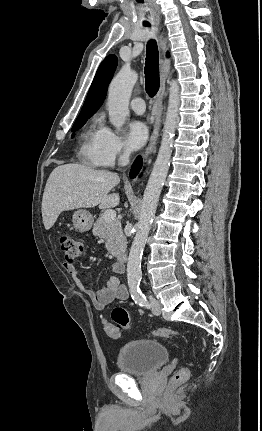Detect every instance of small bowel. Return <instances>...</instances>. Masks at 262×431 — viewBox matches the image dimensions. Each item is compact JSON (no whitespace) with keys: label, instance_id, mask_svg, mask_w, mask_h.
Wrapping results in <instances>:
<instances>
[{"label":"small bowel","instance_id":"obj_1","mask_svg":"<svg viewBox=\"0 0 262 431\" xmlns=\"http://www.w3.org/2000/svg\"><path fill=\"white\" fill-rule=\"evenodd\" d=\"M66 271L71 275L73 282L80 289L81 292L87 294L98 310H103L114 301L126 300L129 296L128 290L125 286L120 285L116 277L108 279L103 285L96 291L92 292L84 283L81 281L77 269L72 264H65ZM115 273L120 274L123 272V266L119 263L113 265Z\"/></svg>","mask_w":262,"mask_h":431}]
</instances>
